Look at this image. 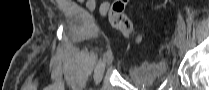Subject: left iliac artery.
<instances>
[{
    "instance_id": "left-iliac-artery-1",
    "label": "left iliac artery",
    "mask_w": 209,
    "mask_h": 90,
    "mask_svg": "<svg viewBox=\"0 0 209 90\" xmlns=\"http://www.w3.org/2000/svg\"><path fill=\"white\" fill-rule=\"evenodd\" d=\"M177 30L179 32V36L185 38L184 33L186 32V29L183 27V21H182V19H179V21H178Z\"/></svg>"
}]
</instances>
